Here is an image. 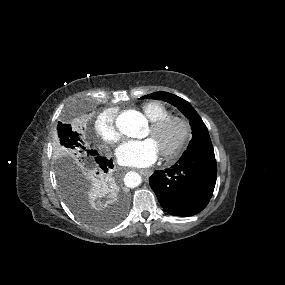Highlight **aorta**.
<instances>
[{"mask_svg": "<svg viewBox=\"0 0 285 285\" xmlns=\"http://www.w3.org/2000/svg\"><path fill=\"white\" fill-rule=\"evenodd\" d=\"M117 128L124 135L131 138H142L147 128L146 118L136 110L122 112L116 121ZM141 183V176L136 172H129L125 176V184L130 188L137 187Z\"/></svg>", "mask_w": 285, "mask_h": 285, "instance_id": "1", "label": "aorta"}]
</instances>
